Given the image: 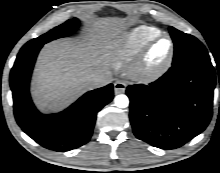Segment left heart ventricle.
Wrapping results in <instances>:
<instances>
[{"instance_id":"b2bd125f","label":"left heart ventricle","mask_w":220,"mask_h":173,"mask_svg":"<svg viewBox=\"0 0 220 173\" xmlns=\"http://www.w3.org/2000/svg\"><path fill=\"white\" fill-rule=\"evenodd\" d=\"M169 43L166 39L160 40L153 46L147 57V65L151 68L160 65L168 52Z\"/></svg>"}]
</instances>
